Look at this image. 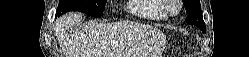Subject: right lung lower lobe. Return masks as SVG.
<instances>
[{
	"mask_svg": "<svg viewBox=\"0 0 249 57\" xmlns=\"http://www.w3.org/2000/svg\"><path fill=\"white\" fill-rule=\"evenodd\" d=\"M60 15H61V13H58V12H57L56 17H57V16H60Z\"/></svg>",
	"mask_w": 249,
	"mask_h": 57,
	"instance_id": "1",
	"label": "right lung lower lobe"
}]
</instances>
